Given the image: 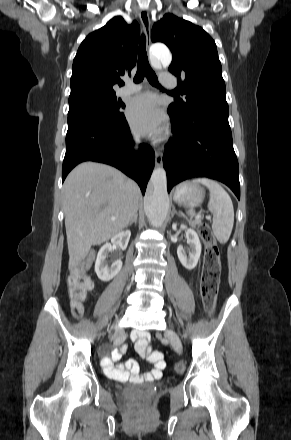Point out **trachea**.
<instances>
[{"label": "trachea", "mask_w": 291, "mask_h": 440, "mask_svg": "<svg viewBox=\"0 0 291 440\" xmlns=\"http://www.w3.org/2000/svg\"><path fill=\"white\" fill-rule=\"evenodd\" d=\"M145 76L151 85L156 87H161L155 72L152 70V68L149 65L147 52H146V38L145 35L142 34L139 44V50H138L137 73L134 77V82L136 83L141 82Z\"/></svg>", "instance_id": "trachea-1"}]
</instances>
